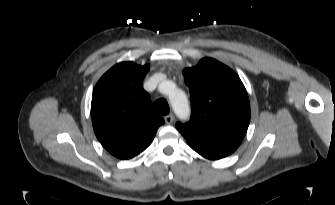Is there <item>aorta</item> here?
I'll return each instance as SVG.
<instances>
[{
	"mask_svg": "<svg viewBox=\"0 0 335 205\" xmlns=\"http://www.w3.org/2000/svg\"><path fill=\"white\" fill-rule=\"evenodd\" d=\"M164 91L169 95L171 106L175 114L180 119H186L190 114V106L186 94L175 88V85L171 81H166L163 83Z\"/></svg>",
	"mask_w": 335,
	"mask_h": 205,
	"instance_id": "762f6f07",
	"label": "aorta"
}]
</instances>
